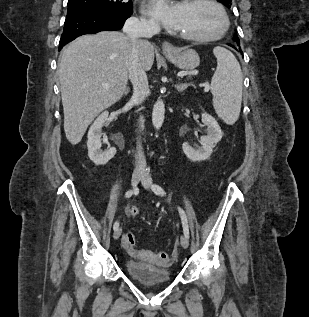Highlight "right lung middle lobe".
I'll list each match as a JSON object with an SVG mask.
<instances>
[{
	"label": "right lung middle lobe",
	"mask_w": 309,
	"mask_h": 317,
	"mask_svg": "<svg viewBox=\"0 0 309 317\" xmlns=\"http://www.w3.org/2000/svg\"><path fill=\"white\" fill-rule=\"evenodd\" d=\"M68 8H92L100 10L116 11L124 14L133 13L132 1L123 0H68Z\"/></svg>",
	"instance_id": "right-lung-middle-lobe-1"
}]
</instances>
